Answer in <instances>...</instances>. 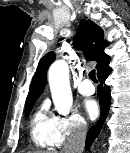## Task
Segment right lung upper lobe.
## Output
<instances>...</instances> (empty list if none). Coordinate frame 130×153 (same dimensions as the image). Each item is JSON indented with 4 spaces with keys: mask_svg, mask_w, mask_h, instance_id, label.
<instances>
[{
    "mask_svg": "<svg viewBox=\"0 0 130 153\" xmlns=\"http://www.w3.org/2000/svg\"><path fill=\"white\" fill-rule=\"evenodd\" d=\"M104 32L91 20H82L78 32L74 37L73 45L85 51V57L89 61H97V74L101 73L109 66L110 57L104 53V49L108 46V42L104 41ZM55 53L49 52L44 55L37 67L31 82L26 104L35 102L41 95L46 84L47 69L55 60Z\"/></svg>",
    "mask_w": 130,
    "mask_h": 153,
    "instance_id": "cb5924a9",
    "label": "right lung upper lobe"
}]
</instances>
